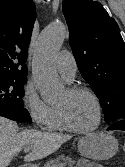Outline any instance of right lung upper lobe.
I'll use <instances>...</instances> for the list:
<instances>
[{
    "instance_id": "right-lung-upper-lobe-1",
    "label": "right lung upper lobe",
    "mask_w": 125,
    "mask_h": 167,
    "mask_svg": "<svg viewBox=\"0 0 125 167\" xmlns=\"http://www.w3.org/2000/svg\"><path fill=\"white\" fill-rule=\"evenodd\" d=\"M35 18L32 0H0V77L26 78Z\"/></svg>"
}]
</instances>
